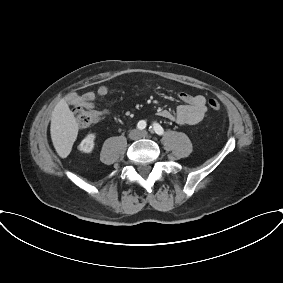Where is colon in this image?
Segmentation results:
<instances>
[{
	"label": "colon",
	"mask_w": 283,
	"mask_h": 283,
	"mask_svg": "<svg viewBox=\"0 0 283 283\" xmlns=\"http://www.w3.org/2000/svg\"><path fill=\"white\" fill-rule=\"evenodd\" d=\"M208 106L213 111L221 108L220 102L214 97L208 99ZM74 117L81 127L91 126L98 121V114L85 106L77 107L74 110Z\"/></svg>",
	"instance_id": "obj_1"
}]
</instances>
